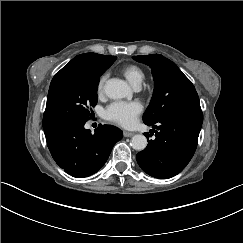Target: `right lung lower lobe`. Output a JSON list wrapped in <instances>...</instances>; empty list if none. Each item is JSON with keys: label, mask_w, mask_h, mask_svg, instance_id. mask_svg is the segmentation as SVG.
Segmentation results:
<instances>
[{"label": "right lung lower lobe", "mask_w": 243, "mask_h": 243, "mask_svg": "<svg viewBox=\"0 0 243 243\" xmlns=\"http://www.w3.org/2000/svg\"><path fill=\"white\" fill-rule=\"evenodd\" d=\"M87 120L68 119L43 127L53 159L76 178L96 173L108 159L122 131L111 125H99L94 134L84 125Z\"/></svg>", "instance_id": "1"}]
</instances>
